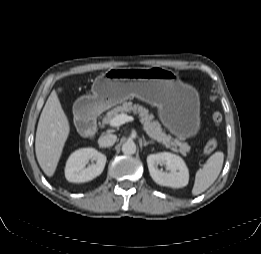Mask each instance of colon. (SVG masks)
<instances>
[{"mask_svg":"<svg viewBox=\"0 0 261 254\" xmlns=\"http://www.w3.org/2000/svg\"><path fill=\"white\" fill-rule=\"evenodd\" d=\"M211 119L215 125L219 126L223 121V115L220 112H214L211 116ZM217 143L218 142L215 137L210 138L204 147V153L205 154L212 153L217 147Z\"/></svg>","mask_w":261,"mask_h":254,"instance_id":"5ec220e1","label":"colon"}]
</instances>
